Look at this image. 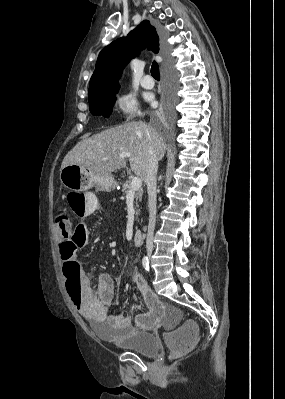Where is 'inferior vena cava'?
Listing matches in <instances>:
<instances>
[{"mask_svg":"<svg viewBox=\"0 0 285 399\" xmlns=\"http://www.w3.org/2000/svg\"><path fill=\"white\" fill-rule=\"evenodd\" d=\"M158 170V156L153 146H149L146 167V184L148 193L149 224L146 239L148 252L153 250V235L156 222V175Z\"/></svg>","mask_w":285,"mask_h":399,"instance_id":"602c4592","label":"inferior vena cava"}]
</instances>
